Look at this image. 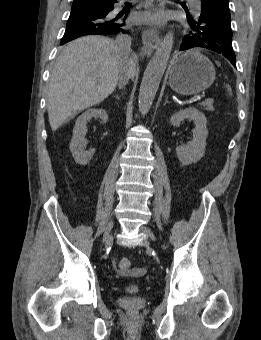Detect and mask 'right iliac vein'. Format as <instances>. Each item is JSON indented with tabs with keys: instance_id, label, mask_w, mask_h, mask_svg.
Returning a JSON list of instances; mask_svg holds the SVG:
<instances>
[{
	"instance_id": "right-iliac-vein-1",
	"label": "right iliac vein",
	"mask_w": 261,
	"mask_h": 340,
	"mask_svg": "<svg viewBox=\"0 0 261 340\" xmlns=\"http://www.w3.org/2000/svg\"><path fill=\"white\" fill-rule=\"evenodd\" d=\"M113 226H114V221L111 220V221L108 223V225H107V227H106V229H105V231H104V234H103V242H104V243H107V244L112 243L113 237H112V235H111V230H112Z\"/></svg>"
}]
</instances>
